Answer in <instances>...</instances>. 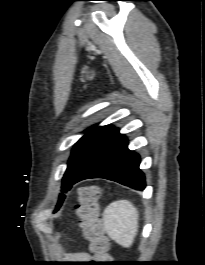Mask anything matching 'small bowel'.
Masks as SVG:
<instances>
[{
	"instance_id": "obj_1",
	"label": "small bowel",
	"mask_w": 205,
	"mask_h": 265,
	"mask_svg": "<svg viewBox=\"0 0 205 265\" xmlns=\"http://www.w3.org/2000/svg\"><path fill=\"white\" fill-rule=\"evenodd\" d=\"M75 260L78 261H86L89 258V255L87 253L81 252L74 255Z\"/></svg>"
}]
</instances>
